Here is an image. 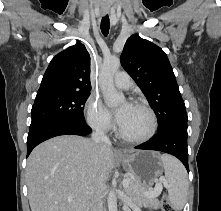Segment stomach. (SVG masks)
<instances>
[{
  "label": "stomach",
  "mask_w": 221,
  "mask_h": 211,
  "mask_svg": "<svg viewBox=\"0 0 221 211\" xmlns=\"http://www.w3.org/2000/svg\"><path fill=\"white\" fill-rule=\"evenodd\" d=\"M131 179L138 181L144 188H150L163 173L160 155L154 151H137L134 154L117 156Z\"/></svg>",
  "instance_id": "stomach-1"
}]
</instances>
